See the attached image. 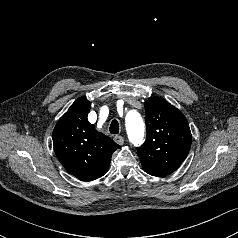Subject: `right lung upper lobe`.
Instances as JSON below:
<instances>
[{"instance_id":"cb5924a9","label":"right lung upper lobe","mask_w":238,"mask_h":238,"mask_svg":"<svg viewBox=\"0 0 238 238\" xmlns=\"http://www.w3.org/2000/svg\"><path fill=\"white\" fill-rule=\"evenodd\" d=\"M89 111L87 98H78L59 119L52 135L58 160L81 181L103 176L113 152L120 148L111 138L96 131L87 119Z\"/></svg>"}]
</instances>
